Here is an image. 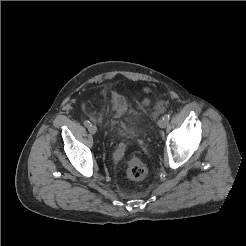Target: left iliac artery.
Returning <instances> with one entry per match:
<instances>
[{
    "instance_id": "1",
    "label": "left iliac artery",
    "mask_w": 246,
    "mask_h": 246,
    "mask_svg": "<svg viewBox=\"0 0 246 246\" xmlns=\"http://www.w3.org/2000/svg\"><path fill=\"white\" fill-rule=\"evenodd\" d=\"M162 119L165 120L166 122H168L169 119H170V116L166 114V115L163 116Z\"/></svg>"
}]
</instances>
